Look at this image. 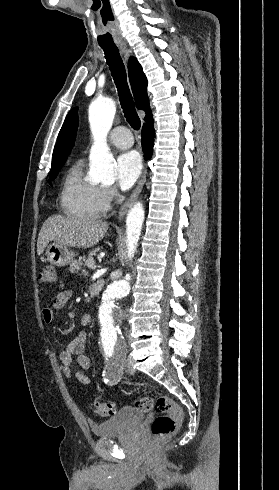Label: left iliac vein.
<instances>
[{
  "instance_id": "1",
  "label": "left iliac vein",
  "mask_w": 279,
  "mask_h": 490,
  "mask_svg": "<svg viewBox=\"0 0 279 490\" xmlns=\"http://www.w3.org/2000/svg\"><path fill=\"white\" fill-rule=\"evenodd\" d=\"M119 359L125 361L127 359V356L125 354H122L119 356Z\"/></svg>"
}]
</instances>
